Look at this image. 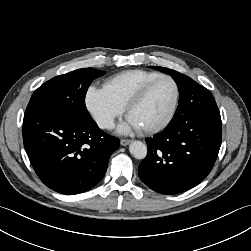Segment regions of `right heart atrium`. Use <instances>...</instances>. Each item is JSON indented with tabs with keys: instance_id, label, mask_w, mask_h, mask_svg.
<instances>
[{
	"instance_id": "right-heart-atrium-1",
	"label": "right heart atrium",
	"mask_w": 251,
	"mask_h": 251,
	"mask_svg": "<svg viewBox=\"0 0 251 251\" xmlns=\"http://www.w3.org/2000/svg\"><path fill=\"white\" fill-rule=\"evenodd\" d=\"M85 106L102 129H111L115 120L124 112V107L104 87L90 86L85 94Z\"/></svg>"
}]
</instances>
